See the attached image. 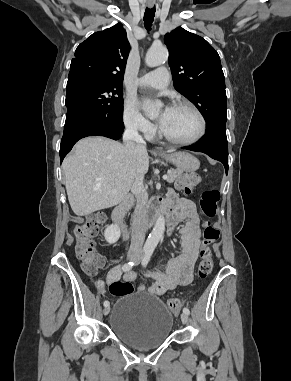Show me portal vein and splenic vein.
Returning <instances> with one entry per match:
<instances>
[{"label":"portal vein and splenic vein","mask_w":291,"mask_h":381,"mask_svg":"<svg viewBox=\"0 0 291 381\" xmlns=\"http://www.w3.org/2000/svg\"><path fill=\"white\" fill-rule=\"evenodd\" d=\"M168 176L167 175H163V179L164 180H167Z\"/></svg>","instance_id":"portal-vein-and-splenic-vein-1"}]
</instances>
